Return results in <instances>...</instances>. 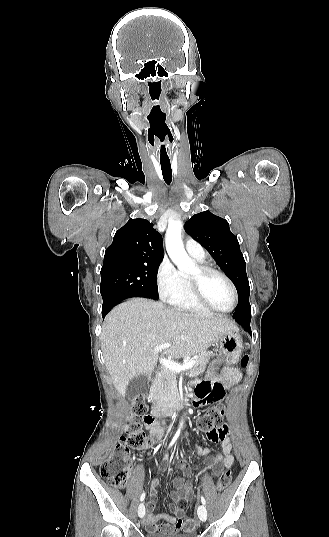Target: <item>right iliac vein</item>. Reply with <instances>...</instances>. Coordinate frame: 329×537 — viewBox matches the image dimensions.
I'll return each instance as SVG.
<instances>
[{"instance_id":"63e3f726","label":"right iliac vein","mask_w":329,"mask_h":537,"mask_svg":"<svg viewBox=\"0 0 329 537\" xmlns=\"http://www.w3.org/2000/svg\"><path fill=\"white\" fill-rule=\"evenodd\" d=\"M144 515H145V506H144L143 503H141V504L139 505V507H138V516H139L140 518H143Z\"/></svg>"}]
</instances>
